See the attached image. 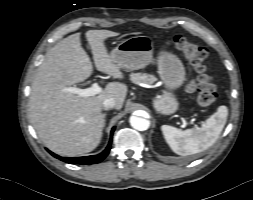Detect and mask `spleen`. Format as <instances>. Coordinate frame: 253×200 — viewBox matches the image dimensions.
I'll list each match as a JSON object with an SVG mask.
<instances>
[{
    "mask_svg": "<svg viewBox=\"0 0 253 200\" xmlns=\"http://www.w3.org/2000/svg\"><path fill=\"white\" fill-rule=\"evenodd\" d=\"M228 116V108L219 106L199 128L180 130L173 126L162 125L163 136L178 155H191L202 152L211 147L221 134Z\"/></svg>",
    "mask_w": 253,
    "mask_h": 200,
    "instance_id": "1",
    "label": "spleen"
}]
</instances>
